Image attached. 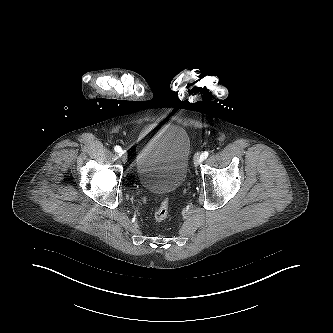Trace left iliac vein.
Returning a JSON list of instances; mask_svg holds the SVG:
<instances>
[{
    "label": "left iliac vein",
    "instance_id": "obj_1",
    "mask_svg": "<svg viewBox=\"0 0 333 333\" xmlns=\"http://www.w3.org/2000/svg\"><path fill=\"white\" fill-rule=\"evenodd\" d=\"M200 162H201L200 156H199V154H196L194 156V165H195V167H197L200 164Z\"/></svg>",
    "mask_w": 333,
    "mask_h": 333
}]
</instances>
